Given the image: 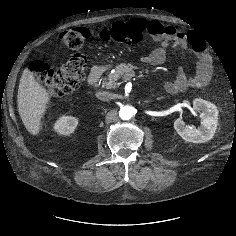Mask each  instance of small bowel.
I'll list each match as a JSON object with an SVG mask.
<instances>
[{
    "mask_svg": "<svg viewBox=\"0 0 236 236\" xmlns=\"http://www.w3.org/2000/svg\"><path fill=\"white\" fill-rule=\"evenodd\" d=\"M146 30L155 41L160 43V46L141 57L144 63L150 65L162 64L166 58L167 49L170 46L181 49L191 46L196 54L198 62L195 75L189 77L183 70H180L176 80L166 84L167 91L173 93L180 92L189 87L199 88L209 83L213 73V63L200 37L187 34L172 25L164 26L158 21L148 22Z\"/></svg>",
    "mask_w": 236,
    "mask_h": 236,
    "instance_id": "1",
    "label": "small bowel"
}]
</instances>
